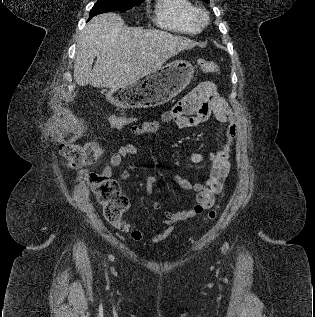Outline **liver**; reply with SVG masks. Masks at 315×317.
Masks as SVG:
<instances>
[{
  "mask_svg": "<svg viewBox=\"0 0 315 317\" xmlns=\"http://www.w3.org/2000/svg\"><path fill=\"white\" fill-rule=\"evenodd\" d=\"M195 45L165 31L129 29L115 13L100 14L88 22L77 44L74 80L79 86L125 88Z\"/></svg>",
  "mask_w": 315,
  "mask_h": 317,
  "instance_id": "1",
  "label": "liver"
}]
</instances>
